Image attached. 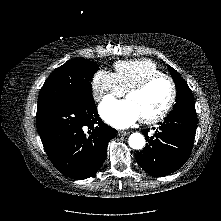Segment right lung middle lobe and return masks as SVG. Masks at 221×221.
Returning <instances> with one entry per match:
<instances>
[{"label":"right lung middle lobe","mask_w":221,"mask_h":221,"mask_svg":"<svg viewBox=\"0 0 221 221\" xmlns=\"http://www.w3.org/2000/svg\"><path fill=\"white\" fill-rule=\"evenodd\" d=\"M99 67L88 60L72 59L56 68L44 83L38 104L91 94V81Z\"/></svg>","instance_id":"dd1d6c3e"}]
</instances>
